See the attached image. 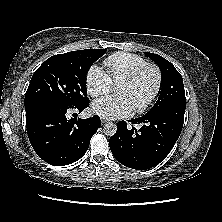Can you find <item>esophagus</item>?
Returning <instances> with one entry per match:
<instances>
[{"instance_id": "obj_1", "label": "esophagus", "mask_w": 222, "mask_h": 222, "mask_svg": "<svg viewBox=\"0 0 222 222\" xmlns=\"http://www.w3.org/2000/svg\"><path fill=\"white\" fill-rule=\"evenodd\" d=\"M107 123H109V121H107V120H102V124H103V125H105V124H107Z\"/></svg>"}]
</instances>
